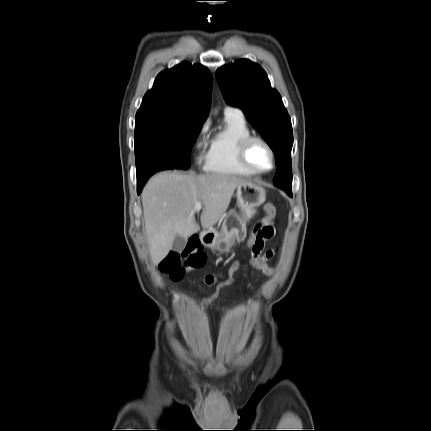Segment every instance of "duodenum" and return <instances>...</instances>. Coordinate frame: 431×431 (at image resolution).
I'll return each mask as SVG.
<instances>
[{"mask_svg": "<svg viewBox=\"0 0 431 431\" xmlns=\"http://www.w3.org/2000/svg\"><path fill=\"white\" fill-rule=\"evenodd\" d=\"M207 236L206 233H201L200 235H195L192 237V241L198 240V239H204Z\"/></svg>", "mask_w": 431, "mask_h": 431, "instance_id": "410a0bca", "label": "duodenum"}]
</instances>
